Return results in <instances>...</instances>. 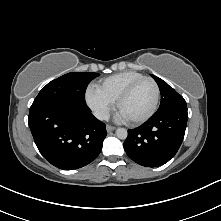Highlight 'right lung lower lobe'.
Returning a JSON list of instances; mask_svg holds the SVG:
<instances>
[{
  "mask_svg": "<svg viewBox=\"0 0 221 221\" xmlns=\"http://www.w3.org/2000/svg\"><path fill=\"white\" fill-rule=\"evenodd\" d=\"M28 124L44 158L62 170L78 169L100 153L107 135L86 103L49 102L30 109Z\"/></svg>",
  "mask_w": 221,
  "mask_h": 221,
  "instance_id": "1",
  "label": "right lung lower lobe"
}]
</instances>
